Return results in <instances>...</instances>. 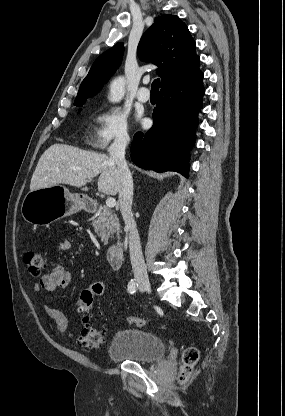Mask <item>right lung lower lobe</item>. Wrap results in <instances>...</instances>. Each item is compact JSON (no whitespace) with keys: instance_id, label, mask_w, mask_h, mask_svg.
I'll return each mask as SVG.
<instances>
[{"instance_id":"obj_1","label":"right lung lower lobe","mask_w":285,"mask_h":416,"mask_svg":"<svg viewBox=\"0 0 285 416\" xmlns=\"http://www.w3.org/2000/svg\"><path fill=\"white\" fill-rule=\"evenodd\" d=\"M203 73L177 80L161 88L153 111V126L138 132L131 146V158L141 168L156 172L177 171L188 176V148L194 143L197 113L204 95Z\"/></svg>"}]
</instances>
